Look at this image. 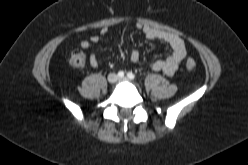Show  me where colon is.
<instances>
[{"instance_id": "1", "label": "colon", "mask_w": 248, "mask_h": 165, "mask_svg": "<svg viewBox=\"0 0 248 165\" xmlns=\"http://www.w3.org/2000/svg\"><path fill=\"white\" fill-rule=\"evenodd\" d=\"M70 65L74 68H84L87 64V57L81 50H74L69 59ZM187 70H194L196 68V62L193 59H188L185 63Z\"/></svg>"}]
</instances>
